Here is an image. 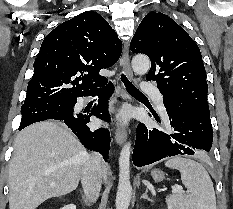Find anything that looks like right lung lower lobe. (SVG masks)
Returning <instances> with one entry per match:
<instances>
[{"label":"right lung lower lobe","instance_id":"obj_1","mask_svg":"<svg viewBox=\"0 0 233 209\" xmlns=\"http://www.w3.org/2000/svg\"><path fill=\"white\" fill-rule=\"evenodd\" d=\"M100 93V99L97 105H94L91 112L88 113H78L73 112L65 117L51 119L63 124H66L73 133L80 139L81 143L88 149L100 152L103 155L105 161L109 158L110 149V133L105 128H100L97 130H90L87 123L90 122V116L95 115L97 118L109 121V111H108V99L114 92V86L109 82L100 91H94L90 94L84 96H92L96 93ZM77 99H75V104ZM74 104V105H75ZM26 127V126H25ZM20 126L19 130L25 128Z\"/></svg>","mask_w":233,"mask_h":209}]
</instances>
